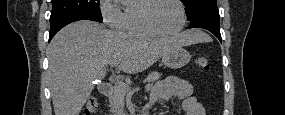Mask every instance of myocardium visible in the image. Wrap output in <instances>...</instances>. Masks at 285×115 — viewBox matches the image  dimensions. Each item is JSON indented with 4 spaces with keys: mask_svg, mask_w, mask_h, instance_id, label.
<instances>
[{
    "mask_svg": "<svg viewBox=\"0 0 285 115\" xmlns=\"http://www.w3.org/2000/svg\"><path fill=\"white\" fill-rule=\"evenodd\" d=\"M159 1H163V0H147L145 4L142 6L141 18H142V22L144 26L149 32H151L153 35H156V36L168 37V36H175L179 34L184 29L186 25V21H187L186 10L183 5V2L180 0H169V1L174 2L179 7L181 21H180V25L178 26L176 30L171 31V32H165V31H162L156 28L150 20V11L154 7V5Z\"/></svg>",
    "mask_w": 285,
    "mask_h": 115,
    "instance_id": "f54148a6",
    "label": "myocardium"
}]
</instances>
